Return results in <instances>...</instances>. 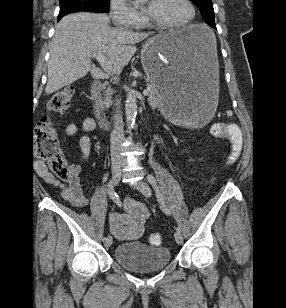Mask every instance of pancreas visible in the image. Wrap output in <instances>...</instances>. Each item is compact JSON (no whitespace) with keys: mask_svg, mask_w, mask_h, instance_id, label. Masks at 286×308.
<instances>
[{"mask_svg":"<svg viewBox=\"0 0 286 308\" xmlns=\"http://www.w3.org/2000/svg\"><path fill=\"white\" fill-rule=\"evenodd\" d=\"M149 89H150L149 98H148L149 104L152 107L156 108V107L160 106L158 97L156 95V90L150 85H149ZM112 93H113L112 89L108 88L104 92V97L99 99L98 107H100L101 109L108 108L111 105V95H112Z\"/></svg>","mask_w":286,"mask_h":308,"instance_id":"cf45deb5","label":"pancreas"}]
</instances>
